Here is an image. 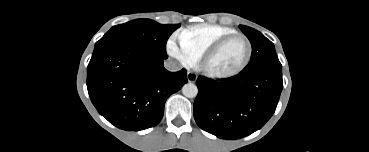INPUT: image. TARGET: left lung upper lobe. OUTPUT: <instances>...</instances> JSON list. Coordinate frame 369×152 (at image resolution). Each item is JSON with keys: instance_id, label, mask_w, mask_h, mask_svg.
Returning <instances> with one entry per match:
<instances>
[{"instance_id": "left-lung-upper-lobe-1", "label": "left lung upper lobe", "mask_w": 369, "mask_h": 152, "mask_svg": "<svg viewBox=\"0 0 369 152\" xmlns=\"http://www.w3.org/2000/svg\"><path fill=\"white\" fill-rule=\"evenodd\" d=\"M239 27L250 40L252 45L250 62L243 71L267 66L282 67L271 41L253 28L244 25H240Z\"/></svg>"}]
</instances>
